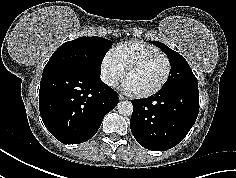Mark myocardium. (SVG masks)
I'll list each match as a JSON object with an SVG mask.
<instances>
[{"label": "myocardium", "instance_id": "f54148a6", "mask_svg": "<svg viewBox=\"0 0 236 178\" xmlns=\"http://www.w3.org/2000/svg\"><path fill=\"white\" fill-rule=\"evenodd\" d=\"M156 57H162L165 59L166 63H167V71L166 74L164 76V78L162 79V81L154 88L144 91V92H134V91H130L132 93V95H134L135 97H139V98H146L149 96H152L156 93H158L168 82L170 76H171V72H172V63L170 58L162 53H153V54H149L147 56H144L142 58H138L136 60H133L132 62H130L124 69V73H123V80H125L126 76L128 75V73L130 71H132L133 69L145 64L146 62H148L149 60L156 58Z\"/></svg>", "mask_w": 236, "mask_h": 178}]
</instances>
